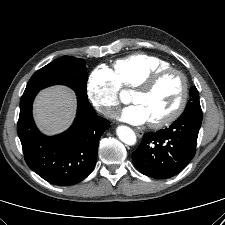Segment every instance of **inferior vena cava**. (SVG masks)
Returning <instances> with one entry per match:
<instances>
[{
    "label": "inferior vena cava",
    "mask_w": 225,
    "mask_h": 225,
    "mask_svg": "<svg viewBox=\"0 0 225 225\" xmlns=\"http://www.w3.org/2000/svg\"><path fill=\"white\" fill-rule=\"evenodd\" d=\"M112 113H113V110L110 109V108H107V109L104 110V114H106V115H108V116H111Z\"/></svg>",
    "instance_id": "1"
}]
</instances>
